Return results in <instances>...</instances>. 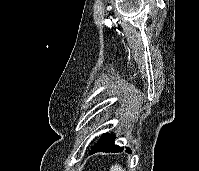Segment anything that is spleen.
<instances>
[{
	"instance_id": "1",
	"label": "spleen",
	"mask_w": 199,
	"mask_h": 171,
	"mask_svg": "<svg viewBox=\"0 0 199 171\" xmlns=\"http://www.w3.org/2000/svg\"><path fill=\"white\" fill-rule=\"evenodd\" d=\"M110 171H124L122 167L118 164L112 165Z\"/></svg>"
}]
</instances>
